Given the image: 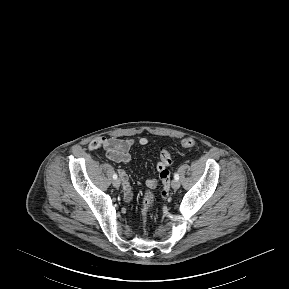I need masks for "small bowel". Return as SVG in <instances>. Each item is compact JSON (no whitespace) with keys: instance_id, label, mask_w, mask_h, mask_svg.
Instances as JSON below:
<instances>
[{"instance_id":"1","label":"small bowel","mask_w":289,"mask_h":289,"mask_svg":"<svg viewBox=\"0 0 289 289\" xmlns=\"http://www.w3.org/2000/svg\"><path fill=\"white\" fill-rule=\"evenodd\" d=\"M148 139L141 137L137 140V144L140 146H146L148 144ZM135 144L133 139H119V138H106L97 137L89 143V149L94 151L98 149H104L106 151L107 157L117 163L129 164L131 162V156L129 150ZM157 170L159 171V176L157 178H149L146 180V187L149 189L155 188L161 182L163 184L161 198L167 199L169 192L171 190V172L167 165L159 164V159L157 163ZM119 175L122 180L124 200L130 202L133 198V192L129 183L127 173L120 169Z\"/></svg>"}]
</instances>
